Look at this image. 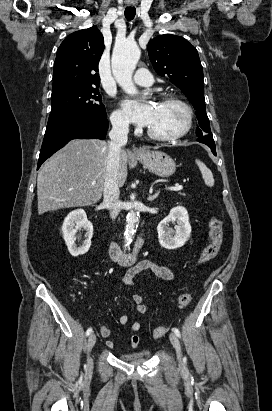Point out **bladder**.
Instances as JSON below:
<instances>
[{
	"instance_id": "31cf9c89",
	"label": "bladder",
	"mask_w": 272,
	"mask_h": 411,
	"mask_svg": "<svg viewBox=\"0 0 272 411\" xmlns=\"http://www.w3.org/2000/svg\"><path fill=\"white\" fill-rule=\"evenodd\" d=\"M150 352H138L133 354H123L120 356V360L129 363H138L146 361L150 358Z\"/></svg>"
}]
</instances>
